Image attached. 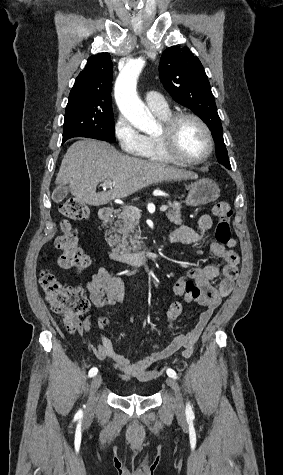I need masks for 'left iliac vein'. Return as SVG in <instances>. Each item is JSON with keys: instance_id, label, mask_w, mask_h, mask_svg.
Masks as SVG:
<instances>
[{"instance_id": "left-iliac-vein-1", "label": "left iliac vein", "mask_w": 283, "mask_h": 475, "mask_svg": "<svg viewBox=\"0 0 283 475\" xmlns=\"http://www.w3.org/2000/svg\"><path fill=\"white\" fill-rule=\"evenodd\" d=\"M166 383L174 391L175 407L177 409V413L179 414V416H182V414H183V411H182L183 410V398H182V395H181V392H180L179 385L176 382V380L172 377L167 378Z\"/></svg>"}]
</instances>
